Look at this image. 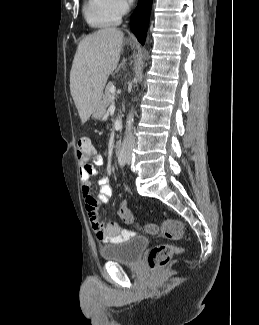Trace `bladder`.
<instances>
[{
  "mask_svg": "<svg viewBox=\"0 0 259 325\" xmlns=\"http://www.w3.org/2000/svg\"><path fill=\"white\" fill-rule=\"evenodd\" d=\"M148 245V238L135 236L120 243L105 245L99 252L106 261L133 265L139 261Z\"/></svg>",
  "mask_w": 259,
  "mask_h": 325,
  "instance_id": "bladder-1",
  "label": "bladder"
}]
</instances>
